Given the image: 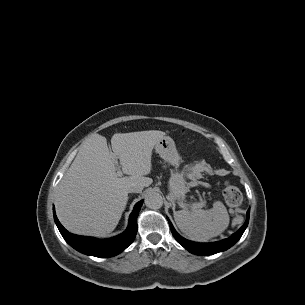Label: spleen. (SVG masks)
<instances>
[{
    "label": "spleen",
    "instance_id": "3e777b00",
    "mask_svg": "<svg viewBox=\"0 0 305 305\" xmlns=\"http://www.w3.org/2000/svg\"><path fill=\"white\" fill-rule=\"evenodd\" d=\"M174 219L182 233L200 242L218 236L229 225V215L221 201H215L209 210L201 209L194 203L190 210L175 211Z\"/></svg>",
    "mask_w": 305,
    "mask_h": 305
}]
</instances>
